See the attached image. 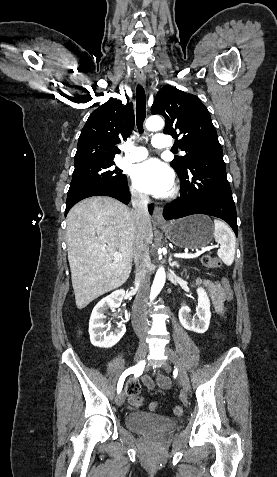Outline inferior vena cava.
Segmentation results:
<instances>
[{"label": "inferior vena cava", "mask_w": 277, "mask_h": 477, "mask_svg": "<svg viewBox=\"0 0 277 477\" xmlns=\"http://www.w3.org/2000/svg\"><path fill=\"white\" fill-rule=\"evenodd\" d=\"M131 202L136 228L134 262L136 266L135 286L137 288V295L132 310V326L137 336L142 338L147 331L146 307L151 276V260L149 247L146 242L147 226L150 222L148 212L149 196L133 192Z\"/></svg>", "instance_id": "obj_1"}]
</instances>
